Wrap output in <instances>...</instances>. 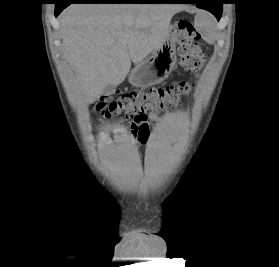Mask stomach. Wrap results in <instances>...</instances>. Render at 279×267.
<instances>
[{
    "instance_id": "1",
    "label": "stomach",
    "mask_w": 279,
    "mask_h": 267,
    "mask_svg": "<svg viewBox=\"0 0 279 267\" xmlns=\"http://www.w3.org/2000/svg\"><path fill=\"white\" fill-rule=\"evenodd\" d=\"M176 30L170 26L169 33L151 57L136 65L129 73L128 81L134 87H149L164 81L176 63Z\"/></svg>"
}]
</instances>
